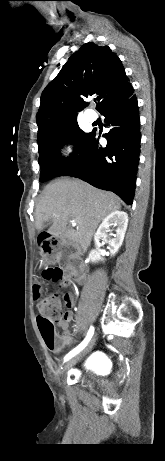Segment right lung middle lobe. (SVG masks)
<instances>
[{"instance_id":"1","label":"right lung middle lobe","mask_w":165,"mask_h":461,"mask_svg":"<svg viewBox=\"0 0 165 461\" xmlns=\"http://www.w3.org/2000/svg\"><path fill=\"white\" fill-rule=\"evenodd\" d=\"M89 136L90 133H84L77 121L72 120L37 139L41 169L39 181L45 182L56 177L76 157L61 158L59 150L64 143H74L79 151L85 146Z\"/></svg>"}]
</instances>
